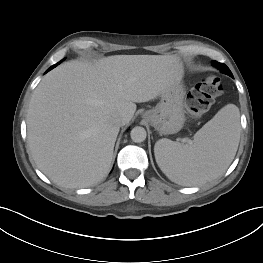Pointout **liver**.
<instances>
[{"label":"liver","instance_id":"1","mask_svg":"<svg viewBox=\"0 0 263 263\" xmlns=\"http://www.w3.org/2000/svg\"><path fill=\"white\" fill-rule=\"evenodd\" d=\"M183 74L172 55H114L52 70L27 112V141L38 168L61 187L98 183L109 172L120 130L113 118L129 123L135 103L161 96Z\"/></svg>","mask_w":263,"mask_h":263}]
</instances>
